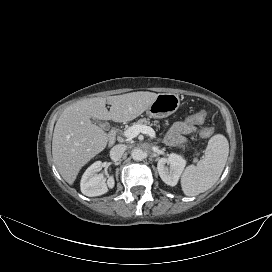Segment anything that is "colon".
I'll use <instances>...</instances> for the list:
<instances>
[{"label": "colon", "instance_id": "colon-1", "mask_svg": "<svg viewBox=\"0 0 272 272\" xmlns=\"http://www.w3.org/2000/svg\"><path fill=\"white\" fill-rule=\"evenodd\" d=\"M206 117V113L204 111H200L189 116L188 122L191 124H202L206 120ZM200 133L202 137L208 138L212 135L213 129L210 127H203Z\"/></svg>", "mask_w": 272, "mask_h": 272}]
</instances>
